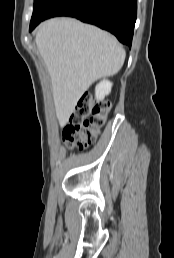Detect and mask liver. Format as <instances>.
Returning a JSON list of instances; mask_svg holds the SVG:
<instances>
[{"label":"liver","mask_w":174,"mask_h":258,"mask_svg":"<svg viewBox=\"0 0 174 258\" xmlns=\"http://www.w3.org/2000/svg\"><path fill=\"white\" fill-rule=\"evenodd\" d=\"M35 42L51 77L61 124L67 122L92 83L118 73L126 55L114 36L72 18L43 22Z\"/></svg>","instance_id":"6515ba94"}]
</instances>
